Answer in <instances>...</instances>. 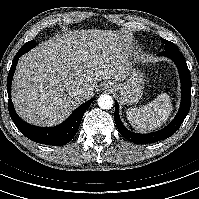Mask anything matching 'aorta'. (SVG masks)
Listing matches in <instances>:
<instances>
[{
    "instance_id": "aorta-1",
    "label": "aorta",
    "mask_w": 199,
    "mask_h": 199,
    "mask_svg": "<svg viewBox=\"0 0 199 199\" xmlns=\"http://www.w3.org/2000/svg\"><path fill=\"white\" fill-rule=\"evenodd\" d=\"M97 102L102 109H110L113 106V98L108 94L100 95Z\"/></svg>"
}]
</instances>
